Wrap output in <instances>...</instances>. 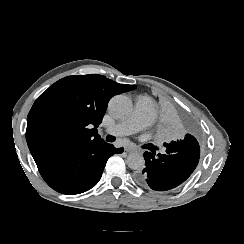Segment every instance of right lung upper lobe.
<instances>
[{
    "label": "right lung upper lobe",
    "instance_id": "obj_1",
    "mask_svg": "<svg viewBox=\"0 0 244 244\" xmlns=\"http://www.w3.org/2000/svg\"><path fill=\"white\" fill-rule=\"evenodd\" d=\"M135 88L98 74L55 82L37 98L27 117L26 140L32 156L102 141L96 128L109 99Z\"/></svg>",
    "mask_w": 244,
    "mask_h": 244
}]
</instances>
